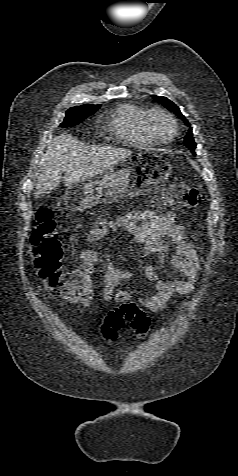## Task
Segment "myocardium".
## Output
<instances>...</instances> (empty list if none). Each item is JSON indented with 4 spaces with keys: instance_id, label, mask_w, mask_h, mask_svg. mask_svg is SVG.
Returning <instances> with one entry per match:
<instances>
[{
    "instance_id": "f54148a6",
    "label": "myocardium",
    "mask_w": 238,
    "mask_h": 476,
    "mask_svg": "<svg viewBox=\"0 0 238 476\" xmlns=\"http://www.w3.org/2000/svg\"><path fill=\"white\" fill-rule=\"evenodd\" d=\"M158 115H162L166 117L172 123L173 131L171 136L167 139H161L160 137L157 136L156 132L154 131L153 119ZM143 126L149 138L154 143H157V144H166L173 141V139L177 136V133H178V122L176 118L169 111L160 107L152 108L146 112L144 116V120H143Z\"/></svg>"
}]
</instances>
